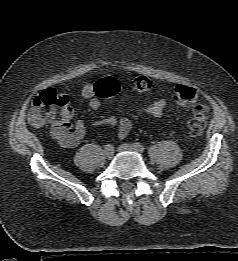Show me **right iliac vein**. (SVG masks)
<instances>
[{
    "label": "right iliac vein",
    "instance_id": "right-iliac-vein-1",
    "mask_svg": "<svg viewBox=\"0 0 238 261\" xmlns=\"http://www.w3.org/2000/svg\"><path fill=\"white\" fill-rule=\"evenodd\" d=\"M113 155H114V149L111 152H107L105 150V156L107 159H111L113 157Z\"/></svg>",
    "mask_w": 238,
    "mask_h": 261
}]
</instances>
